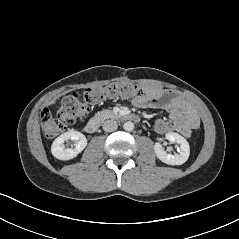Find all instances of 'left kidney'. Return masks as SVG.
<instances>
[{"label": "left kidney", "instance_id": "obj_1", "mask_svg": "<svg viewBox=\"0 0 239 239\" xmlns=\"http://www.w3.org/2000/svg\"><path fill=\"white\" fill-rule=\"evenodd\" d=\"M166 139L171 142H176L180 145L179 154H168L159 142L154 145L156 156L168 165H181L185 163L190 155V147L187 140L178 133L169 132L165 135Z\"/></svg>", "mask_w": 239, "mask_h": 239}]
</instances>
